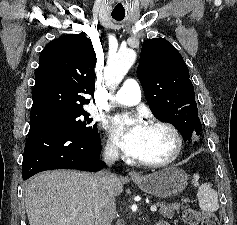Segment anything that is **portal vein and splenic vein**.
<instances>
[{
	"instance_id": "1",
	"label": "portal vein and splenic vein",
	"mask_w": 237,
	"mask_h": 225,
	"mask_svg": "<svg viewBox=\"0 0 237 225\" xmlns=\"http://www.w3.org/2000/svg\"><path fill=\"white\" fill-rule=\"evenodd\" d=\"M150 210H151L152 212L157 211V206H156V205H152V206L150 207Z\"/></svg>"
}]
</instances>
